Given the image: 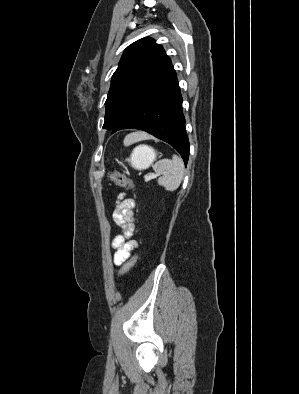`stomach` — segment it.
<instances>
[{
  "mask_svg": "<svg viewBox=\"0 0 299 394\" xmlns=\"http://www.w3.org/2000/svg\"><path fill=\"white\" fill-rule=\"evenodd\" d=\"M155 157L156 153L151 147L140 145L133 150L129 162L132 167L141 170L148 168L155 160Z\"/></svg>",
  "mask_w": 299,
  "mask_h": 394,
  "instance_id": "1",
  "label": "stomach"
}]
</instances>
